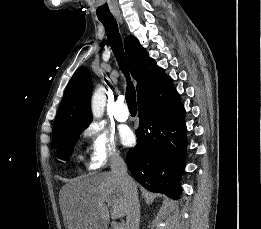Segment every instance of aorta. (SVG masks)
Segmentation results:
<instances>
[{
  "mask_svg": "<svg viewBox=\"0 0 261 229\" xmlns=\"http://www.w3.org/2000/svg\"><path fill=\"white\" fill-rule=\"evenodd\" d=\"M106 106V96L103 86H98L95 92L92 94L91 98V108L93 112V117L95 119H101L104 115V110Z\"/></svg>",
  "mask_w": 261,
  "mask_h": 229,
  "instance_id": "1",
  "label": "aorta"
}]
</instances>
